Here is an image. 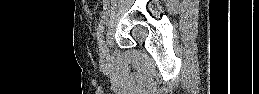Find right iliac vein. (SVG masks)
Returning a JSON list of instances; mask_svg holds the SVG:
<instances>
[{"label": "right iliac vein", "instance_id": "right-iliac-vein-1", "mask_svg": "<svg viewBox=\"0 0 259 94\" xmlns=\"http://www.w3.org/2000/svg\"><path fill=\"white\" fill-rule=\"evenodd\" d=\"M100 56L102 60H106L107 58V48H106V44H105V40L104 38L100 40Z\"/></svg>", "mask_w": 259, "mask_h": 94}]
</instances>
